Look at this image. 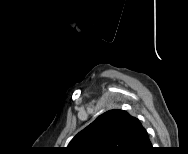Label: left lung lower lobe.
<instances>
[{
    "label": "left lung lower lobe",
    "instance_id": "left-lung-lower-lobe-1",
    "mask_svg": "<svg viewBox=\"0 0 188 154\" xmlns=\"http://www.w3.org/2000/svg\"><path fill=\"white\" fill-rule=\"evenodd\" d=\"M151 143L145 128L140 121L136 119L134 125V134L131 141L129 154H138L139 151L150 149Z\"/></svg>",
    "mask_w": 188,
    "mask_h": 154
}]
</instances>
